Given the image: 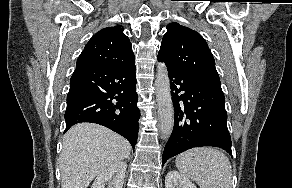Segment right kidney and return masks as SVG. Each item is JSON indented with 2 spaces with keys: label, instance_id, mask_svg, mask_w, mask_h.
<instances>
[{
  "label": "right kidney",
  "instance_id": "ca27d5eb",
  "mask_svg": "<svg viewBox=\"0 0 292 188\" xmlns=\"http://www.w3.org/2000/svg\"><path fill=\"white\" fill-rule=\"evenodd\" d=\"M127 169L126 162L119 161L110 165L107 169L102 171L91 188H122Z\"/></svg>",
  "mask_w": 292,
  "mask_h": 188
}]
</instances>
